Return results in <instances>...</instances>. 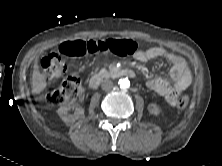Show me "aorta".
Returning a JSON list of instances; mask_svg holds the SVG:
<instances>
[{
    "mask_svg": "<svg viewBox=\"0 0 222 166\" xmlns=\"http://www.w3.org/2000/svg\"><path fill=\"white\" fill-rule=\"evenodd\" d=\"M119 85L122 89H127L130 87V81L128 78H122L119 80Z\"/></svg>",
    "mask_w": 222,
    "mask_h": 166,
    "instance_id": "762f6f07",
    "label": "aorta"
}]
</instances>
